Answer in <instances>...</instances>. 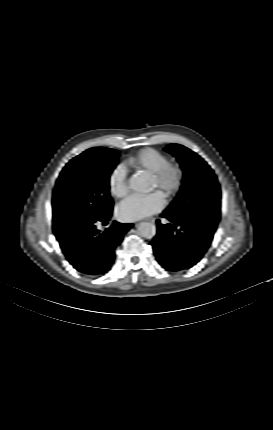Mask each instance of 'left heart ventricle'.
Listing matches in <instances>:
<instances>
[{
  "instance_id": "b2bd125f",
  "label": "left heart ventricle",
  "mask_w": 273,
  "mask_h": 430,
  "mask_svg": "<svg viewBox=\"0 0 273 430\" xmlns=\"http://www.w3.org/2000/svg\"><path fill=\"white\" fill-rule=\"evenodd\" d=\"M152 187H153V188H156V187H157V183H156V181H155L154 179H152Z\"/></svg>"
}]
</instances>
